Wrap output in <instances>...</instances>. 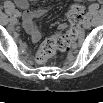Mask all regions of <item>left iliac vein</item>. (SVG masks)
Segmentation results:
<instances>
[{
  "instance_id": "4c4485c4",
  "label": "left iliac vein",
  "mask_w": 103,
  "mask_h": 103,
  "mask_svg": "<svg viewBox=\"0 0 103 103\" xmlns=\"http://www.w3.org/2000/svg\"><path fill=\"white\" fill-rule=\"evenodd\" d=\"M91 27V23L90 22H86L85 24H84V28L85 29H89Z\"/></svg>"
}]
</instances>
